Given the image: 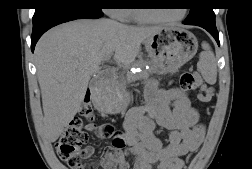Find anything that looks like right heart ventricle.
<instances>
[{
  "mask_svg": "<svg viewBox=\"0 0 252 169\" xmlns=\"http://www.w3.org/2000/svg\"><path fill=\"white\" fill-rule=\"evenodd\" d=\"M127 21H136V17L134 15V11L132 9L126 10V18Z\"/></svg>",
  "mask_w": 252,
  "mask_h": 169,
  "instance_id": "obj_1",
  "label": "right heart ventricle"
}]
</instances>
